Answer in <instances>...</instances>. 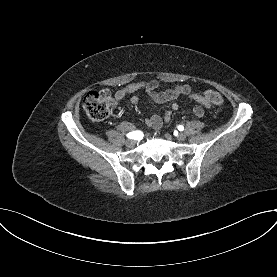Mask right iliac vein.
Masks as SVG:
<instances>
[{"instance_id": "1", "label": "right iliac vein", "mask_w": 277, "mask_h": 277, "mask_svg": "<svg viewBox=\"0 0 277 277\" xmlns=\"http://www.w3.org/2000/svg\"><path fill=\"white\" fill-rule=\"evenodd\" d=\"M135 144H136V141H135L134 139H128V140L126 141V146L129 147V148L134 147Z\"/></svg>"}]
</instances>
